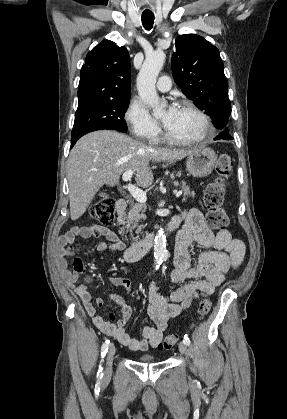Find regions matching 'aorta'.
Returning <instances> with one entry per match:
<instances>
[{"instance_id": "1", "label": "aorta", "mask_w": 287, "mask_h": 419, "mask_svg": "<svg viewBox=\"0 0 287 419\" xmlns=\"http://www.w3.org/2000/svg\"><path fill=\"white\" fill-rule=\"evenodd\" d=\"M165 53L157 50L149 54L137 77V90L141 100L153 110L154 115L162 114V106L156 91V80L165 62ZM169 253L166 249V236L162 228L158 230L154 239V262L156 268L167 260Z\"/></svg>"}]
</instances>
